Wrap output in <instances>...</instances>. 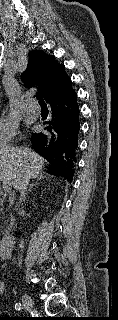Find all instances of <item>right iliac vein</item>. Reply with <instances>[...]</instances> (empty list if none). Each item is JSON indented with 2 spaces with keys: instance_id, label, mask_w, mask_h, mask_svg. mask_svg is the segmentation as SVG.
<instances>
[{
  "instance_id": "obj_1",
  "label": "right iliac vein",
  "mask_w": 118,
  "mask_h": 320,
  "mask_svg": "<svg viewBox=\"0 0 118 320\" xmlns=\"http://www.w3.org/2000/svg\"><path fill=\"white\" fill-rule=\"evenodd\" d=\"M22 301H23V305L25 307V309L27 311H32L33 308H34V302L32 300V298L27 294V293H24L23 296H22Z\"/></svg>"
}]
</instances>
